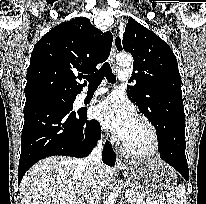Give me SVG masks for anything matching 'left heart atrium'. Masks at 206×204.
<instances>
[{"label":"left heart atrium","instance_id":"left-heart-atrium-1","mask_svg":"<svg viewBox=\"0 0 206 204\" xmlns=\"http://www.w3.org/2000/svg\"><path fill=\"white\" fill-rule=\"evenodd\" d=\"M95 116L105 128L123 141L137 120L134 106L121 94H112L101 101L95 108Z\"/></svg>","mask_w":206,"mask_h":204}]
</instances>
